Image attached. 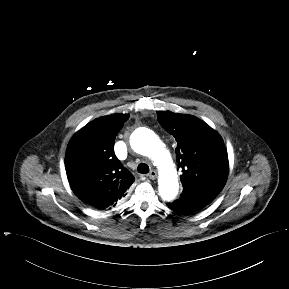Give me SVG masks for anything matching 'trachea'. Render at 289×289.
Segmentation results:
<instances>
[{
    "mask_svg": "<svg viewBox=\"0 0 289 289\" xmlns=\"http://www.w3.org/2000/svg\"><path fill=\"white\" fill-rule=\"evenodd\" d=\"M137 170L141 174H146L149 172V166L145 163H140L137 167Z\"/></svg>",
    "mask_w": 289,
    "mask_h": 289,
    "instance_id": "1",
    "label": "trachea"
}]
</instances>
